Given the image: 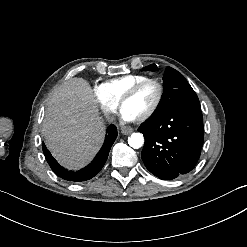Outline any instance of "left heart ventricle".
<instances>
[{
	"instance_id": "1",
	"label": "left heart ventricle",
	"mask_w": 247,
	"mask_h": 247,
	"mask_svg": "<svg viewBox=\"0 0 247 247\" xmlns=\"http://www.w3.org/2000/svg\"><path fill=\"white\" fill-rule=\"evenodd\" d=\"M158 96V89L156 85L149 83L144 85L137 95L125 103L123 107L129 108L134 111L138 118L147 114L155 105Z\"/></svg>"
}]
</instances>
